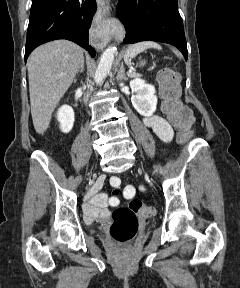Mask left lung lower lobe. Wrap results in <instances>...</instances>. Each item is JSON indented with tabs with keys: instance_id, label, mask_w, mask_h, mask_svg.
I'll return each instance as SVG.
<instances>
[{
	"instance_id": "0a47b994",
	"label": "left lung lower lobe",
	"mask_w": 240,
	"mask_h": 288,
	"mask_svg": "<svg viewBox=\"0 0 240 288\" xmlns=\"http://www.w3.org/2000/svg\"><path fill=\"white\" fill-rule=\"evenodd\" d=\"M117 16L126 29L124 43L153 40L176 46L187 60L177 0H119Z\"/></svg>"
}]
</instances>
